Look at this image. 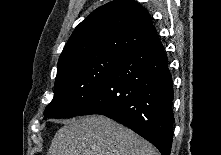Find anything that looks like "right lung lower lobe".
I'll return each instance as SVG.
<instances>
[{"instance_id": "98d812e1", "label": "right lung lower lobe", "mask_w": 221, "mask_h": 155, "mask_svg": "<svg viewBox=\"0 0 221 155\" xmlns=\"http://www.w3.org/2000/svg\"><path fill=\"white\" fill-rule=\"evenodd\" d=\"M172 76L157 35L129 50L79 113L101 114L170 155L173 139Z\"/></svg>"}]
</instances>
